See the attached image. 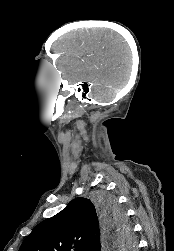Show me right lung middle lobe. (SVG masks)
<instances>
[{
	"mask_svg": "<svg viewBox=\"0 0 174 251\" xmlns=\"http://www.w3.org/2000/svg\"><path fill=\"white\" fill-rule=\"evenodd\" d=\"M92 201L99 210L104 224L111 231L114 244L123 250H134L135 242L131 238V227L124 210L116 200L109 193L100 191L93 196Z\"/></svg>",
	"mask_w": 174,
	"mask_h": 251,
	"instance_id": "obj_1",
	"label": "right lung middle lobe"
}]
</instances>
